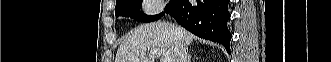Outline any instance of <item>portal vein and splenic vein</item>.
Segmentation results:
<instances>
[{
  "mask_svg": "<svg viewBox=\"0 0 331 62\" xmlns=\"http://www.w3.org/2000/svg\"><path fill=\"white\" fill-rule=\"evenodd\" d=\"M150 54L152 55H162L163 58V62H173L171 56L169 55V52L166 51L165 49H160V48H156V49H151L150 50Z\"/></svg>",
  "mask_w": 331,
  "mask_h": 62,
  "instance_id": "portal-vein-and-splenic-vein-1",
  "label": "portal vein and splenic vein"
}]
</instances>
